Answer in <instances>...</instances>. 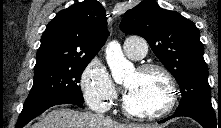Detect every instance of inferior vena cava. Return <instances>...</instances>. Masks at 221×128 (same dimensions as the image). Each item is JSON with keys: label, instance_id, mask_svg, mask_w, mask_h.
I'll use <instances>...</instances> for the list:
<instances>
[{"label": "inferior vena cava", "instance_id": "obj_1", "mask_svg": "<svg viewBox=\"0 0 221 128\" xmlns=\"http://www.w3.org/2000/svg\"><path fill=\"white\" fill-rule=\"evenodd\" d=\"M98 117H101V118H103L104 116H103L102 114H98Z\"/></svg>", "mask_w": 221, "mask_h": 128}]
</instances>
